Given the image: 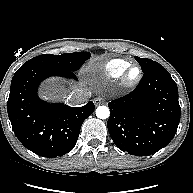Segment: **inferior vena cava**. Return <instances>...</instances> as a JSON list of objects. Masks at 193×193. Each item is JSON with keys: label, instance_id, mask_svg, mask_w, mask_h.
I'll return each instance as SVG.
<instances>
[{"label": "inferior vena cava", "instance_id": "inferior-vena-cava-1", "mask_svg": "<svg viewBox=\"0 0 193 193\" xmlns=\"http://www.w3.org/2000/svg\"><path fill=\"white\" fill-rule=\"evenodd\" d=\"M91 94L82 89H77L72 92L68 97V102L72 106H78L86 103L90 98Z\"/></svg>", "mask_w": 193, "mask_h": 193}]
</instances>
